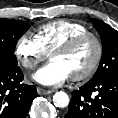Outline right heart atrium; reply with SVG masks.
Masks as SVG:
<instances>
[{
	"label": "right heart atrium",
	"instance_id": "obj_1",
	"mask_svg": "<svg viewBox=\"0 0 118 118\" xmlns=\"http://www.w3.org/2000/svg\"><path fill=\"white\" fill-rule=\"evenodd\" d=\"M14 53L19 63L27 69H34L47 57V53L36 37L30 34H23L19 37Z\"/></svg>",
	"mask_w": 118,
	"mask_h": 118
}]
</instances>
